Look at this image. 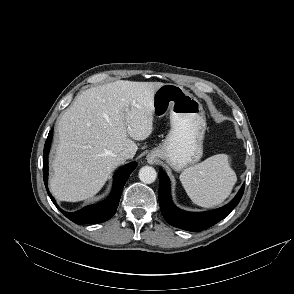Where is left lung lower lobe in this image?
Instances as JSON below:
<instances>
[{
    "instance_id": "obj_1",
    "label": "left lung lower lobe",
    "mask_w": 294,
    "mask_h": 294,
    "mask_svg": "<svg viewBox=\"0 0 294 294\" xmlns=\"http://www.w3.org/2000/svg\"><path fill=\"white\" fill-rule=\"evenodd\" d=\"M244 186L226 206L208 212L192 213L177 208L170 199V186L165 172L159 171V204L165 220L172 226L187 231H202L224 219L238 205Z\"/></svg>"
}]
</instances>
